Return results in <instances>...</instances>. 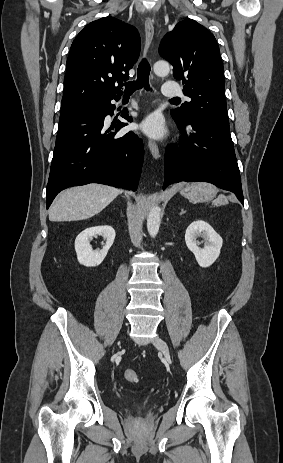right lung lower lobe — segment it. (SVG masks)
<instances>
[{"instance_id":"1","label":"right lung lower lobe","mask_w":283,"mask_h":463,"mask_svg":"<svg viewBox=\"0 0 283 463\" xmlns=\"http://www.w3.org/2000/svg\"><path fill=\"white\" fill-rule=\"evenodd\" d=\"M119 95L93 100L60 115L58 134L47 185V208L63 189L102 183L135 191L144 157L142 140L132 131L122 134L127 123L108 128L105 117L113 115L111 100ZM132 121L127 109L121 115ZM116 128L115 131H112Z\"/></svg>"}]
</instances>
